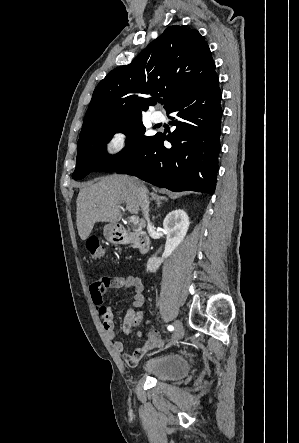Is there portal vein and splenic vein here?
<instances>
[{"mask_svg": "<svg viewBox=\"0 0 299 443\" xmlns=\"http://www.w3.org/2000/svg\"><path fill=\"white\" fill-rule=\"evenodd\" d=\"M130 221L132 222V224L136 225L139 223V218L135 215L130 217Z\"/></svg>", "mask_w": 299, "mask_h": 443, "instance_id": "18ae733b", "label": "portal vein and splenic vein"}]
</instances>
